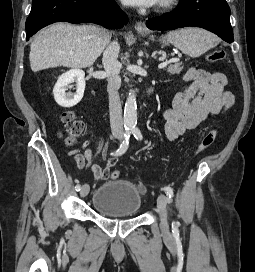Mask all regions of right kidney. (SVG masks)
<instances>
[{"instance_id":"ca27d5eb","label":"right kidney","mask_w":255,"mask_h":272,"mask_svg":"<svg viewBox=\"0 0 255 272\" xmlns=\"http://www.w3.org/2000/svg\"><path fill=\"white\" fill-rule=\"evenodd\" d=\"M85 73L80 69H72L62 74L54 86L53 94L57 104L64 108H70L77 105L84 95ZM76 82V94H67L66 90L69 84Z\"/></svg>"}]
</instances>
